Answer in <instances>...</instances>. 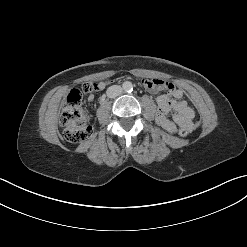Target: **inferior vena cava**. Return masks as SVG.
Returning <instances> with one entry per match:
<instances>
[{
    "instance_id": "inferior-vena-cava-1",
    "label": "inferior vena cava",
    "mask_w": 247,
    "mask_h": 247,
    "mask_svg": "<svg viewBox=\"0 0 247 247\" xmlns=\"http://www.w3.org/2000/svg\"><path fill=\"white\" fill-rule=\"evenodd\" d=\"M106 93L109 98H115L122 94V87L119 85H112L107 89Z\"/></svg>"
}]
</instances>
